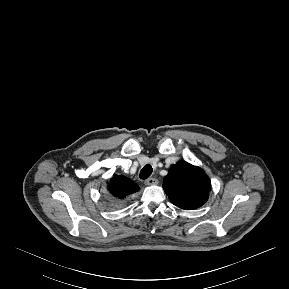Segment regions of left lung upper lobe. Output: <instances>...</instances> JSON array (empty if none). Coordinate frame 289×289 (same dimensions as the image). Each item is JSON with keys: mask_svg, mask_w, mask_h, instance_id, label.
Here are the masks:
<instances>
[{"mask_svg": "<svg viewBox=\"0 0 289 289\" xmlns=\"http://www.w3.org/2000/svg\"><path fill=\"white\" fill-rule=\"evenodd\" d=\"M163 188L174 205L192 210L207 201L211 183L201 168L180 161L171 166Z\"/></svg>", "mask_w": 289, "mask_h": 289, "instance_id": "5c2ea615", "label": "left lung upper lobe"}]
</instances>
